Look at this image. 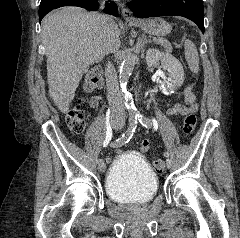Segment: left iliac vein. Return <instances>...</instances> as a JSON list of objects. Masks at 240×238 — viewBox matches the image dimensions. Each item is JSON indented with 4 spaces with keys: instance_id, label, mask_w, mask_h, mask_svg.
I'll list each match as a JSON object with an SVG mask.
<instances>
[{
    "instance_id": "left-iliac-vein-1",
    "label": "left iliac vein",
    "mask_w": 240,
    "mask_h": 238,
    "mask_svg": "<svg viewBox=\"0 0 240 238\" xmlns=\"http://www.w3.org/2000/svg\"><path fill=\"white\" fill-rule=\"evenodd\" d=\"M166 166L167 168H171L172 167V162L170 159H166Z\"/></svg>"
}]
</instances>
